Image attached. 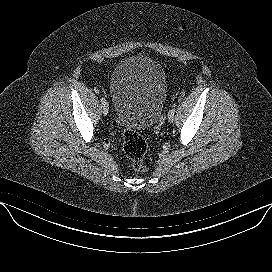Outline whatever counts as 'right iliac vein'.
<instances>
[{"label":"right iliac vein","instance_id":"63e3f726","mask_svg":"<svg viewBox=\"0 0 272 272\" xmlns=\"http://www.w3.org/2000/svg\"><path fill=\"white\" fill-rule=\"evenodd\" d=\"M102 111H103V114H104V115H107V114H108V112H109L108 104L103 105Z\"/></svg>","mask_w":272,"mask_h":272}]
</instances>
